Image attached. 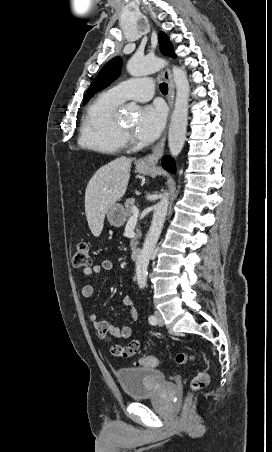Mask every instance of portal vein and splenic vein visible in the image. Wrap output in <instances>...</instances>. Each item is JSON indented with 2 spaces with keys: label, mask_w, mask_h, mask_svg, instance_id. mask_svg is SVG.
Instances as JSON below:
<instances>
[{
  "label": "portal vein and splenic vein",
  "mask_w": 272,
  "mask_h": 452,
  "mask_svg": "<svg viewBox=\"0 0 272 452\" xmlns=\"http://www.w3.org/2000/svg\"><path fill=\"white\" fill-rule=\"evenodd\" d=\"M132 218H137L138 217V215H139V210H138V208L136 207V206H133L132 207Z\"/></svg>",
  "instance_id": "portal-vein-and-splenic-vein-1"
}]
</instances>
